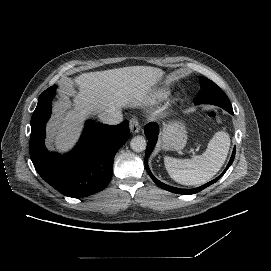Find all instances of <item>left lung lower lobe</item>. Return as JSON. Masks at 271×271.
Masks as SVG:
<instances>
[{"instance_id":"left-lung-lower-lobe-1","label":"left lung lower lobe","mask_w":271,"mask_h":271,"mask_svg":"<svg viewBox=\"0 0 271 271\" xmlns=\"http://www.w3.org/2000/svg\"><path fill=\"white\" fill-rule=\"evenodd\" d=\"M227 112H229L230 114L234 115L233 113V110H226ZM145 135L148 139V144H147V148H146V157H145V167H146V170L149 174V176L153 179V181L156 183V185H158L159 187H161L162 189H165L167 191H170V192H173V193H177V194H195L201 190H203L204 188L210 186L211 184L215 183L217 180H219V178L224 175V173L227 171V169L230 167V165L232 164L233 160H234V157H235V152H236V149L234 147L233 149V152H232V155H231V158H230V161L227 165V167L225 168V170L223 171V173L218 176L217 178H215L214 180L200 186V187H197V188H194V189H180V188H176V187H172V186H169V185H166L162 182H160L159 180H157L151 173L149 167H148V163H147V160H148V157L149 155L151 154L152 150H153V147L154 145L156 144V141H157V136H158V125L156 123H150L148 124L146 127H145Z\"/></svg>"}]
</instances>
